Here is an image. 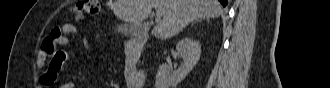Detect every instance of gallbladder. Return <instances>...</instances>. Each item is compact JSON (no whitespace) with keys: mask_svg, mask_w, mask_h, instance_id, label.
Instances as JSON below:
<instances>
[{"mask_svg":"<svg viewBox=\"0 0 330 88\" xmlns=\"http://www.w3.org/2000/svg\"><path fill=\"white\" fill-rule=\"evenodd\" d=\"M118 32H121L122 34L126 36H133L137 33L138 31V26L132 25V24H126V25H121L117 27Z\"/></svg>","mask_w":330,"mask_h":88,"instance_id":"gallbladder-1","label":"gallbladder"}]
</instances>
